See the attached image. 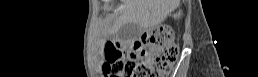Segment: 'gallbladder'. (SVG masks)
<instances>
[{
	"instance_id": "gallbladder-1",
	"label": "gallbladder",
	"mask_w": 258,
	"mask_h": 77,
	"mask_svg": "<svg viewBox=\"0 0 258 77\" xmlns=\"http://www.w3.org/2000/svg\"><path fill=\"white\" fill-rule=\"evenodd\" d=\"M140 27L135 23H126L119 30V37L123 41H131L138 36Z\"/></svg>"
}]
</instances>
